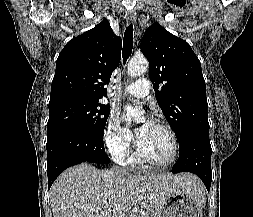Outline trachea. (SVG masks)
<instances>
[{
	"instance_id": "trachea-1",
	"label": "trachea",
	"mask_w": 253,
	"mask_h": 217,
	"mask_svg": "<svg viewBox=\"0 0 253 217\" xmlns=\"http://www.w3.org/2000/svg\"><path fill=\"white\" fill-rule=\"evenodd\" d=\"M133 48V25L130 24L124 33V41H123V62L125 63L129 56L132 53Z\"/></svg>"
}]
</instances>
